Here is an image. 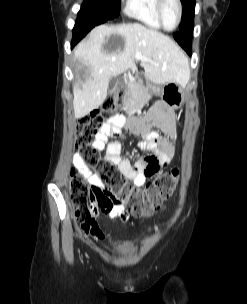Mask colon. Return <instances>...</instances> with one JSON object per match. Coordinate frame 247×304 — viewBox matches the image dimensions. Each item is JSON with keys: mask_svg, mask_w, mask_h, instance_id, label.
I'll use <instances>...</instances> for the list:
<instances>
[{"mask_svg": "<svg viewBox=\"0 0 247 304\" xmlns=\"http://www.w3.org/2000/svg\"><path fill=\"white\" fill-rule=\"evenodd\" d=\"M122 99L123 90L119 89L109 95L100 108L84 116L79 122L77 142L84 161L94 170L95 175L99 177L109 193L122 199L127 211L139 216L161 207L164 199L175 190L179 172L174 169L159 175L144 189L138 190L129 184L116 165L104 162V156L94 146L93 139L103 124L118 114ZM149 163L152 168H156L155 158L149 159ZM70 192L77 219L82 225L90 223L93 218L94 197L96 196L93 187L82 175L73 172Z\"/></svg>", "mask_w": 247, "mask_h": 304, "instance_id": "colon-1", "label": "colon"}]
</instances>
